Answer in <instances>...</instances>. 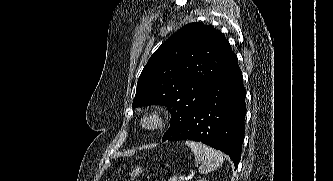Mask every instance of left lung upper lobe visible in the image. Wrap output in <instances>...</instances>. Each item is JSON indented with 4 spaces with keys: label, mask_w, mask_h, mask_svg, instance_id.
<instances>
[{
    "label": "left lung upper lobe",
    "mask_w": 333,
    "mask_h": 181,
    "mask_svg": "<svg viewBox=\"0 0 333 181\" xmlns=\"http://www.w3.org/2000/svg\"><path fill=\"white\" fill-rule=\"evenodd\" d=\"M237 59L228 40L212 26L185 25L150 57L137 82L133 107L171 109V121L196 109L209 86Z\"/></svg>",
    "instance_id": "5c2ea615"
}]
</instances>
